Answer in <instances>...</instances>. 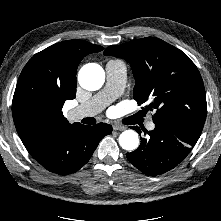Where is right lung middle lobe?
Segmentation results:
<instances>
[{"mask_svg": "<svg viewBox=\"0 0 221 221\" xmlns=\"http://www.w3.org/2000/svg\"><path fill=\"white\" fill-rule=\"evenodd\" d=\"M22 97L26 106L35 111L44 110L51 104L47 95L31 84L23 89Z\"/></svg>", "mask_w": 221, "mask_h": 221, "instance_id": "dd1d6c3e", "label": "right lung middle lobe"}]
</instances>
